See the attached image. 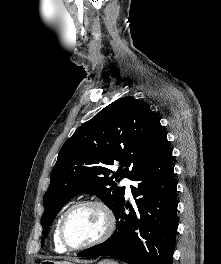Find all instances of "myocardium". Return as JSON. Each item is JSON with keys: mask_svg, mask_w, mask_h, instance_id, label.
Instances as JSON below:
<instances>
[{"mask_svg": "<svg viewBox=\"0 0 221 264\" xmlns=\"http://www.w3.org/2000/svg\"><path fill=\"white\" fill-rule=\"evenodd\" d=\"M81 206L96 207L104 216L105 228H104L103 233L94 241L89 242L87 244L79 245V246H73L66 239L65 223H66V219L69 216V214L74 209L81 207ZM115 226H116V219H115L114 212L110 208V206L100 199L89 198V199H83V200L75 202L63 213V215L61 216L60 221H59L58 235H59V239H60L61 244L67 250L80 251V250H84V249H88V248L97 246V245L105 242L113 234V232L115 230Z\"/></svg>", "mask_w": 221, "mask_h": 264, "instance_id": "f54148a6", "label": "myocardium"}]
</instances>
